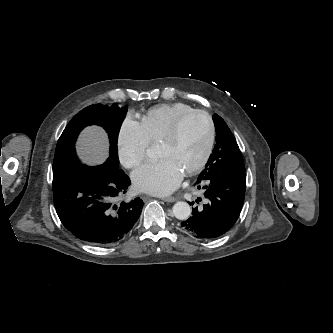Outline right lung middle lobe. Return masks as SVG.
I'll use <instances>...</instances> for the list:
<instances>
[{"mask_svg":"<svg viewBox=\"0 0 333 333\" xmlns=\"http://www.w3.org/2000/svg\"><path fill=\"white\" fill-rule=\"evenodd\" d=\"M126 110V107L119 108L116 103L112 106L97 104L90 105L75 115L58 140L53 162V174L74 164H79L75 154V141L81 130L89 125H99L106 130L110 140L109 157L118 161L117 140Z\"/></svg>","mask_w":333,"mask_h":333,"instance_id":"dd1d6c3e","label":"right lung middle lobe"}]
</instances>
